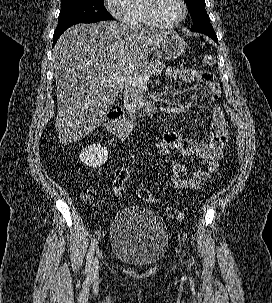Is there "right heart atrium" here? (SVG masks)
<instances>
[{
	"instance_id": "1",
	"label": "right heart atrium",
	"mask_w": 272,
	"mask_h": 303,
	"mask_svg": "<svg viewBox=\"0 0 272 303\" xmlns=\"http://www.w3.org/2000/svg\"><path fill=\"white\" fill-rule=\"evenodd\" d=\"M106 9L117 19L124 20L129 0H104Z\"/></svg>"
}]
</instances>
